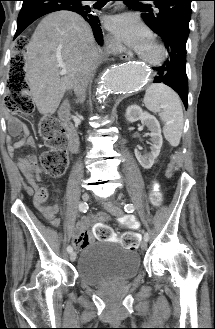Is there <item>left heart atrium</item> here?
Wrapping results in <instances>:
<instances>
[{
	"label": "left heart atrium",
	"mask_w": 215,
	"mask_h": 329,
	"mask_svg": "<svg viewBox=\"0 0 215 329\" xmlns=\"http://www.w3.org/2000/svg\"><path fill=\"white\" fill-rule=\"evenodd\" d=\"M115 39L138 52H144L152 45L150 31L132 14L113 17L108 23Z\"/></svg>",
	"instance_id": "obj_1"
}]
</instances>
